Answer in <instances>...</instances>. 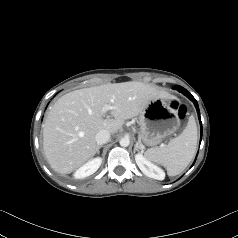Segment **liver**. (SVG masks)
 Here are the masks:
<instances>
[{
  "instance_id": "1",
  "label": "liver",
  "mask_w": 238,
  "mask_h": 238,
  "mask_svg": "<svg viewBox=\"0 0 238 238\" xmlns=\"http://www.w3.org/2000/svg\"><path fill=\"white\" fill-rule=\"evenodd\" d=\"M156 98L171 96L156 86L134 81L63 95L50 107L43 124V150L49 164L61 174L73 172L96 154L95 137L100 130L117 133L125 120L140 114ZM107 106L112 107L113 118H105Z\"/></svg>"
}]
</instances>
